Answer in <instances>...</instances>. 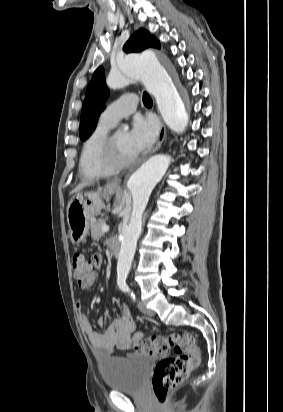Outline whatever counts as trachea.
<instances>
[{
  "mask_svg": "<svg viewBox=\"0 0 283 412\" xmlns=\"http://www.w3.org/2000/svg\"><path fill=\"white\" fill-rule=\"evenodd\" d=\"M143 103L145 106L152 105V99L146 92L143 93Z\"/></svg>",
  "mask_w": 283,
  "mask_h": 412,
  "instance_id": "trachea-1",
  "label": "trachea"
}]
</instances>
